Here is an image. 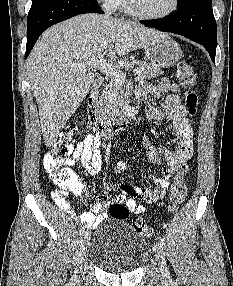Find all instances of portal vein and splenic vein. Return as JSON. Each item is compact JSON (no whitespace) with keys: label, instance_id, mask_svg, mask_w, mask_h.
Instances as JSON below:
<instances>
[{"label":"portal vein and splenic vein","instance_id":"18ae733b","mask_svg":"<svg viewBox=\"0 0 233 286\" xmlns=\"http://www.w3.org/2000/svg\"><path fill=\"white\" fill-rule=\"evenodd\" d=\"M99 68L103 72H105L109 77L114 78L118 82H124L126 76L121 72L117 67L113 66L112 64L106 62L103 56L99 57L98 59H92L91 61L82 64L79 68L82 70L85 69H93ZM136 73H140V71H136Z\"/></svg>","mask_w":233,"mask_h":286}]
</instances>
